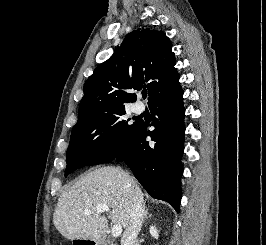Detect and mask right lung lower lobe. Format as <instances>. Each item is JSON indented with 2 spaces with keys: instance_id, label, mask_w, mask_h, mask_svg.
I'll list each match as a JSON object with an SVG mask.
<instances>
[{
  "instance_id": "98d812e1",
  "label": "right lung lower lobe",
  "mask_w": 266,
  "mask_h": 245,
  "mask_svg": "<svg viewBox=\"0 0 266 245\" xmlns=\"http://www.w3.org/2000/svg\"><path fill=\"white\" fill-rule=\"evenodd\" d=\"M148 105L153 115L150 126H154V130L147 129L149 124L137 122L131 144L114 158L128 165L152 197L170 203L179 212L183 172L180 160L185 133L183 91L179 80L155 96ZM148 136L153 141L150 144L146 141Z\"/></svg>"
}]
</instances>
